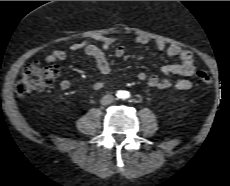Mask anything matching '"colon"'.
I'll return each mask as SVG.
<instances>
[{"label":"colon","mask_w":230,"mask_h":186,"mask_svg":"<svg viewBox=\"0 0 230 186\" xmlns=\"http://www.w3.org/2000/svg\"><path fill=\"white\" fill-rule=\"evenodd\" d=\"M196 79L205 86L212 85L211 77L203 71H195ZM58 76V69L53 65L32 62L25 66L17 83V93L28 96L49 87Z\"/></svg>","instance_id":"1"}]
</instances>
